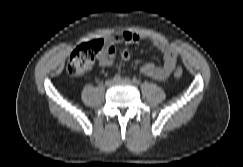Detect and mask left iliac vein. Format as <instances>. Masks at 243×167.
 Masks as SVG:
<instances>
[{"instance_id":"left-iliac-vein-1","label":"left iliac vein","mask_w":243,"mask_h":167,"mask_svg":"<svg viewBox=\"0 0 243 167\" xmlns=\"http://www.w3.org/2000/svg\"><path fill=\"white\" fill-rule=\"evenodd\" d=\"M117 83H130V80L128 78L121 79L119 81H116Z\"/></svg>"}]
</instances>
